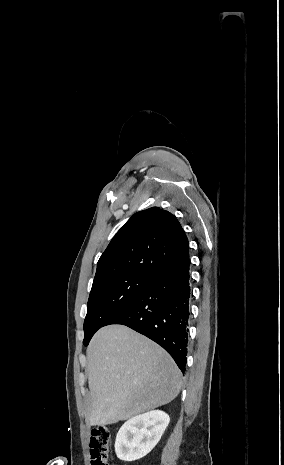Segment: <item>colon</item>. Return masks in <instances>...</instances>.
Returning a JSON list of instances; mask_svg holds the SVG:
<instances>
[{"mask_svg":"<svg viewBox=\"0 0 284 465\" xmlns=\"http://www.w3.org/2000/svg\"><path fill=\"white\" fill-rule=\"evenodd\" d=\"M111 438L109 429H93L89 445L90 465H110L108 445Z\"/></svg>","mask_w":284,"mask_h":465,"instance_id":"5ec220e1","label":"colon"}]
</instances>
